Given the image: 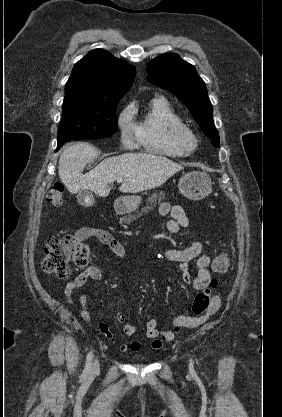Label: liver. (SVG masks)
<instances>
[{
    "instance_id": "liver-1",
    "label": "liver",
    "mask_w": 282,
    "mask_h": 417,
    "mask_svg": "<svg viewBox=\"0 0 282 417\" xmlns=\"http://www.w3.org/2000/svg\"><path fill=\"white\" fill-rule=\"evenodd\" d=\"M98 154L88 142H76L65 148L59 158L58 174L69 192L82 188L93 190L99 196H108L116 178H123L121 192H141L164 184L184 166L166 156L147 152H126L119 156H108L89 172L82 174L87 162Z\"/></svg>"
}]
</instances>
